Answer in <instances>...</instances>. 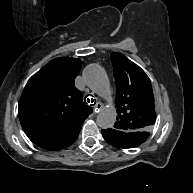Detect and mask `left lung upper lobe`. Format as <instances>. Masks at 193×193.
<instances>
[{
    "label": "left lung upper lobe",
    "instance_id": "1",
    "mask_svg": "<svg viewBox=\"0 0 193 193\" xmlns=\"http://www.w3.org/2000/svg\"><path fill=\"white\" fill-rule=\"evenodd\" d=\"M116 82L117 121L114 130L139 135L155 123L154 97L146 73L127 57L112 53Z\"/></svg>",
    "mask_w": 193,
    "mask_h": 193
}]
</instances>
